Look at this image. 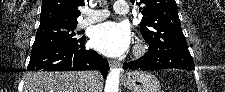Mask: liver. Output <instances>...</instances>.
Here are the masks:
<instances>
[{
  "mask_svg": "<svg viewBox=\"0 0 225 92\" xmlns=\"http://www.w3.org/2000/svg\"><path fill=\"white\" fill-rule=\"evenodd\" d=\"M101 77L96 71L28 72L24 92H98Z\"/></svg>",
  "mask_w": 225,
  "mask_h": 92,
  "instance_id": "6515ba94",
  "label": "liver"
}]
</instances>
